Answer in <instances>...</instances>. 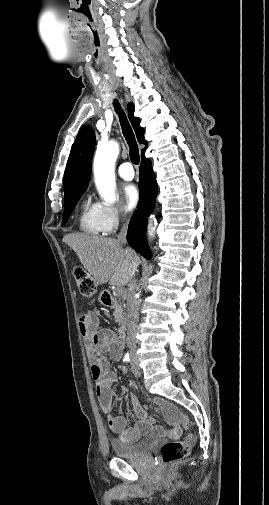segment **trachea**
Returning a JSON list of instances; mask_svg holds the SVG:
<instances>
[{"label":"trachea","instance_id":"1","mask_svg":"<svg viewBox=\"0 0 269 505\" xmlns=\"http://www.w3.org/2000/svg\"><path fill=\"white\" fill-rule=\"evenodd\" d=\"M113 104H114L116 112L119 115V120H120V124L122 127V133L127 141V144L129 145V148H130V150H129L130 159L133 164L137 165V164H139L140 157H139V149H138V144L135 139V135H134L133 130H132V128L129 124V121L126 117V114L122 110L118 100H115Z\"/></svg>","mask_w":269,"mask_h":505}]
</instances>
